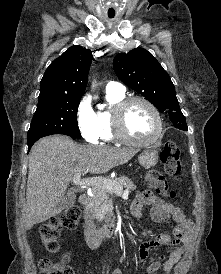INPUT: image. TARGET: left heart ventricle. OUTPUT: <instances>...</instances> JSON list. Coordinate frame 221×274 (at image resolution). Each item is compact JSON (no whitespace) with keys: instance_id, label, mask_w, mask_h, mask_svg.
Here are the masks:
<instances>
[{"instance_id":"obj_1","label":"left heart ventricle","mask_w":221,"mask_h":274,"mask_svg":"<svg viewBox=\"0 0 221 274\" xmlns=\"http://www.w3.org/2000/svg\"><path fill=\"white\" fill-rule=\"evenodd\" d=\"M125 132L136 140L149 139L156 130V121L150 109L143 103H133L124 116Z\"/></svg>"}]
</instances>
